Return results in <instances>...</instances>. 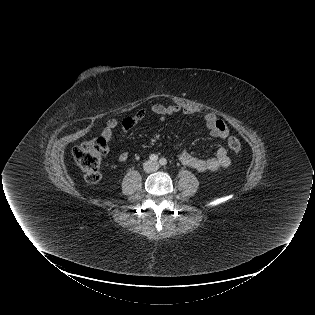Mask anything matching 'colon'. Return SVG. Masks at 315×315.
Masks as SVG:
<instances>
[{
	"label": "colon",
	"instance_id": "5ec220e1",
	"mask_svg": "<svg viewBox=\"0 0 315 315\" xmlns=\"http://www.w3.org/2000/svg\"><path fill=\"white\" fill-rule=\"evenodd\" d=\"M108 142L107 138L101 133L91 136L74 150V159L89 184L97 183L101 177V161L107 153ZM228 147L234 154H239L242 149L240 141L235 137L228 139Z\"/></svg>",
	"mask_w": 315,
	"mask_h": 315
}]
</instances>
